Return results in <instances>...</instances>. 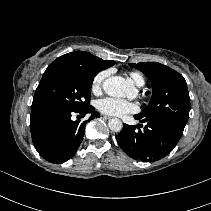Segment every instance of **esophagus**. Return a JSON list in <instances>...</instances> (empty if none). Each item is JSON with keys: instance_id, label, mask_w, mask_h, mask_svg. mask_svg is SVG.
<instances>
[{"instance_id": "1", "label": "esophagus", "mask_w": 211, "mask_h": 211, "mask_svg": "<svg viewBox=\"0 0 211 211\" xmlns=\"http://www.w3.org/2000/svg\"><path fill=\"white\" fill-rule=\"evenodd\" d=\"M101 118H103V119H110L111 117L108 116V115L101 114Z\"/></svg>"}]
</instances>
